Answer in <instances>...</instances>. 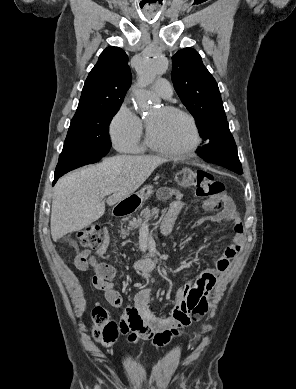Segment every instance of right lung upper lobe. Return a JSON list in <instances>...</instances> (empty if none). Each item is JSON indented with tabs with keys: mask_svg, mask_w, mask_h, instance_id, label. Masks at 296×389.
<instances>
[{
	"mask_svg": "<svg viewBox=\"0 0 296 389\" xmlns=\"http://www.w3.org/2000/svg\"><path fill=\"white\" fill-rule=\"evenodd\" d=\"M131 81L126 53L119 47L106 48L85 81L72 120L95 110L121 106Z\"/></svg>",
	"mask_w": 296,
	"mask_h": 389,
	"instance_id": "obj_1",
	"label": "right lung upper lobe"
}]
</instances>
